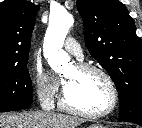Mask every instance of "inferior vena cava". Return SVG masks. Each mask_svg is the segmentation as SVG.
<instances>
[{
	"mask_svg": "<svg viewBox=\"0 0 142 128\" xmlns=\"http://www.w3.org/2000/svg\"><path fill=\"white\" fill-rule=\"evenodd\" d=\"M41 105H42V109H44L48 113H51L54 108L53 99L48 98L47 103L46 104L41 103Z\"/></svg>",
	"mask_w": 142,
	"mask_h": 128,
	"instance_id": "inferior-vena-cava-1",
	"label": "inferior vena cava"
}]
</instances>
